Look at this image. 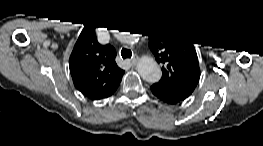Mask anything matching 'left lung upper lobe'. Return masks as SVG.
Instances as JSON below:
<instances>
[{
	"instance_id": "5c2ea615",
	"label": "left lung upper lobe",
	"mask_w": 263,
	"mask_h": 146,
	"mask_svg": "<svg viewBox=\"0 0 263 146\" xmlns=\"http://www.w3.org/2000/svg\"><path fill=\"white\" fill-rule=\"evenodd\" d=\"M149 48L162 64L158 82L184 100L194 91L199 78L198 58L193 45L174 29L155 26L147 29Z\"/></svg>"
}]
</instances>
